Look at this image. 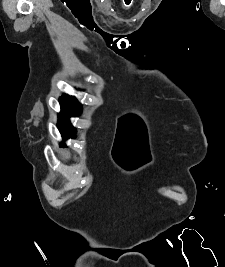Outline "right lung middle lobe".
Segmentation results:
<instances>
[{"instance_id":"dd1d6c3e","label":"right lung middle lobe","mask_w":225,"mask_h":267,"mask_svg":"<svg viewBox=\"0 0 225 267\" xmlns=\"http://www.w3.org/2000/svg\"><path fill=\"white\" fill-rule=\"evenodd\" d=\"M61 114H59L58 128L63 138H74L75 129L69 122V117L80 114L81 106L75 97L63 95L60 99Z\"/></svg>"}]
</instances>
